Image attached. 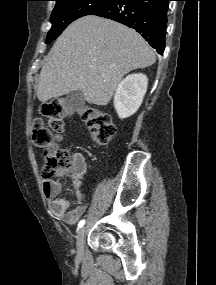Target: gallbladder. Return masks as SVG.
<instances>
[{
    "mask_svg": "<svg viewBox=\"0 0 216 285\" xmlns=\"http://www.w3.org/2000/svg\"><path fill=\"white\" fill-rule=\"evenodd\" d=\"M85 98L81 90H77L67 94L65 97V105L71 111H79L83 108Z\"/></svg>",
    "mask_w": 216,
    "mask_h": 285,
    "instance_id": "1",
    "label": "gallbladder"
}]
</instances>
